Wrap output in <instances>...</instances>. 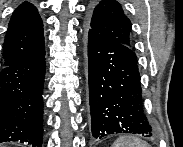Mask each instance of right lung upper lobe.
I'll list each match as a JSON object with an SVG mask.
<instances>
[{
  "label": "right lung upper lobe",
  "instance_id": "cb5924a9",
  "mask_svg": "<svg viewBox=\"0 0 183 147\" xmlns=\"http://www.w3.org/2000/svg\"><path fill=\"white\" fill-rule=\"evenodd\" d=\"M45 50L43 23L28 2L13 12L4 41L3 66L18 64Z\"/></svg>",
  "mask_w": 183,
  "mask_h": 147
}]
</instances>
